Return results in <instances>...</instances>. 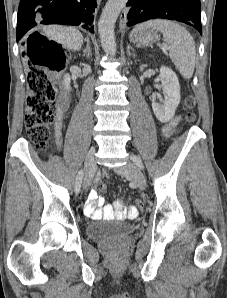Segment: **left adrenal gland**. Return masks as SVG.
Wrapping results in <instances>:
<instances>
[{
  "mask_svg": "<svg viewBox=\"0 0 227 298\" xmlns=\"http://www.w3.org/2000/svg\"><path fill=\"white\" fill-rule=\"evenodd\" d=\"M130 49L132 50V53L130 52ZM127 52H128V55H132L133 57H136L134 49L130 45H128Z\"/></svg>",
  "mask_w": 227,
  "mask_h": 298,
  "instance_id": "left-adrenal-gland-1",
  "label": "left adrenal gland"
}]
</instances>
